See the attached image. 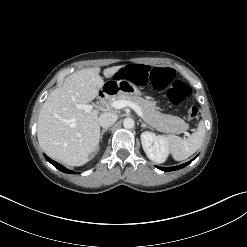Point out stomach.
I'll return each mask as SVG.
<instances>
[{"label":"stomach","mask_w":247,"mask_h":247,"mask_svg":"<svg viewBox=\"0 0 247 247\" xmlns=\"http://www.w3.org/2000/svg\"><path fill=\"white\" fill-rule=\"evenodd\" d=\"M123 83H126V85H124ZM118 86L122 94L132 95V96H139L141 94L137 86L131 82L128 81L118 82Z\"/></svg>","instance_id":"1"}]
</instances>
